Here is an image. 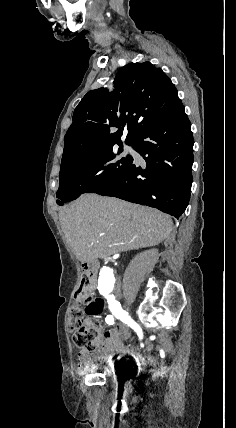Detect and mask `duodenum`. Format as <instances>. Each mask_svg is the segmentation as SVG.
<instances>
[{
  "instance_id": "1",
  "label": "duodenum",
  "mask_w": 236,
  "mask_h": 428,
  "mask_svg": "<svg viewBox=\"0 0 236 428\" xmlns=\"http://www.w3.org/2000/svg\"><path fill=\"white\" fill-rule=\"evenodd\" d=\"M83 272L90 282L91 288L96 284L97 265L92 261H87L82 264Z\"/></svg>"
}]
</instances>
